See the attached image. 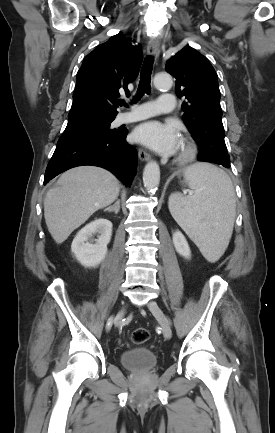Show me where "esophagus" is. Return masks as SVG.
Returning a JSON list of instances; mask_svg holds the SVG:
<instances>
[{
    "instance_id": "34e87169",
    "label": "esophagus",
    "mask_w": 275,
    "mask_h": 433,
    "mask_svg": "<svg viewBox=\"0 0 275 433\" xmlns=\"http://www.w3.org/2000/svg\"><path fill=\"white\" fill-rule=\"evenodd\" d=\"M147 54L152 56L154 60L156 61L160 54V42L157 37L153 38L148 46H147ZM138 156L141 161H148L150 160L151 156L148 152H146L144 149L139 148L138 149Z\"/></svg>"
}]
</instances>
